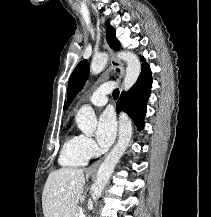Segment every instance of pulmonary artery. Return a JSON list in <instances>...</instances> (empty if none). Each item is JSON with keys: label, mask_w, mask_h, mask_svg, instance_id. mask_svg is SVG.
<instances>
[{"label": "pulmonary artery", "mask_w": 211, "mask_h": 217, "mask_svg": "<svg viewBox=\"0 0 211 217\" xmlns=\"http://www.w3.org/2000/svg\"><path fill=\"white\" fill-rule=\"evenodd\" d=\"M114 83L104 82L94 89L89 97V103L96 107L104 106L108 101V94L113 90Z\"/></svg>", "instance_id": "e3ab8cb5"}]
</instances>
